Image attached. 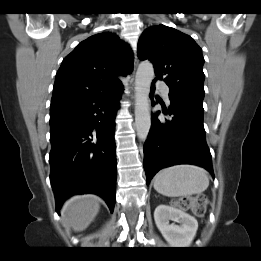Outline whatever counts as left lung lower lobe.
<instances>
[{"mask_svg": "<svg viewBox=\"0 0 261 261\" xmlns=\"http://www.w3.org/2000/svg\"><path fill=\"white\" fill-rule=\"evenodd\" d=\"M154 82L150 98L154 93ZM171 105L163 112L172 119H159V112L151 116V129L144 144V169L147 185L162 168L176 164H193L213 175L211 154L206 143L203 125V105L182 95L170 96Z\"/></svg>", "mask_w": 261, "mask_h": 261, "instance_id": "1", "label": "left lung lower lobe"}]
</instances>
